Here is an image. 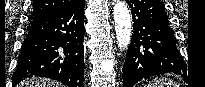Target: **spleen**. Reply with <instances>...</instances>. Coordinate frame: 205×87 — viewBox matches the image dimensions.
<instances>
[{
    "label": "spleen",
    "instance_id": "1",
    "mask_svg": "<svg viewBox=\"0 0 205 87\" xmlns=\"http://www.w3.org/2000/svg\"><path fill=\"white\" fill-rule=\"evenodd\" d=\"M147 87H179L170 79H155L150 82Z\"/></svg>",
    "mask_w": 205,
    "mask_h": 87
}]
</instances>
